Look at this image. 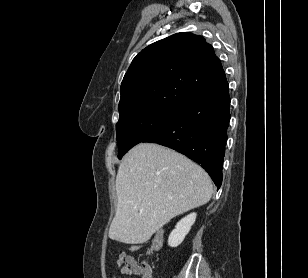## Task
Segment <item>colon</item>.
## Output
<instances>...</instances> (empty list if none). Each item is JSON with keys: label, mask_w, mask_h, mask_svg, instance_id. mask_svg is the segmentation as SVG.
I'll return each instance as SVG.
<instances>
[{"label": "colon", "mask_w": 308, "mask_h": 278, "mask_svg": "<svg viewBox=\"0 0 308 278\" xmlns=\"http://www.w3.org/2000/svg\"><path fill=\"white\" fill-rule=\"evenodd\" d=\"M156 237L152 241L151 250H156L158 247L161 246V242L163 240L164 232L162 230H158L156 232ZM139 248V245L137 243H134L133 245L128 247L129 253H136L137 249ZM121 264L123 265V268L129 273V274H140L146 265V263H142L139 265L133 258L129 256L123 257L121 260Z\"/></svg>", "instance_id": "5ec220e1"}]
</instances>
